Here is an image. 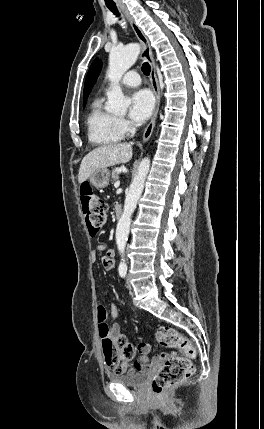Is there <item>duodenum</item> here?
<instances>
[{"label": "duodenum", "instance_id": "1", "mask_svg": "<svg viewBox=\"0 0 264 429\" xmlns=\"http://www.w3.org/2000/svg\"><path fill=\"white\" fill-rule=\"evenodd\" d=\"M115 215L117 218H120L122 215V208L119 205H117L115 208Z\"/></svg>", "mask_w": 264, "mask_h": 429}]
</instances>
